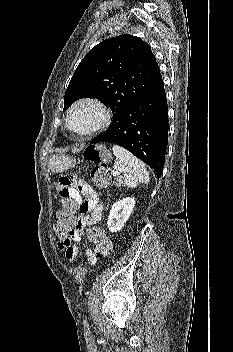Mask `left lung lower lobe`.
Here are the masks:
<instances>
[{"label": "left lung lower lobe", "mask_w": 233, "mask_h": 352, "mask_svg": "<svg viewBox=\"0 0 233 352\" xmlns=\"http://www.w3.org/2000/svg\"><path fill=\"white\" fill-rule=\"evenodd\" d=\"M100 142L124 147L161 176L168 142V106L162 78L125 108L105 132L90 141Z\"/></svg>", "instance_id": "obj_1"}]
</instances>
